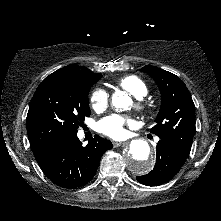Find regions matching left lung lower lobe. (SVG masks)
<instances>
[{
    "label": "left lung lower lobe",
    "instance_id": "left-lung-lower-lobe-1",
    "mask_svg": "<svg viewBox=\"0 0 221 221\" xmlns=\"http://www.w3.org/2000/svg\"><path fill=\"white\" fill-rule=\"evenodd\" d=\"M156 149L154 169L147 175L136 178L140 183L147 186H157L173 178L187 159L163 140H159Z\"/></svg>",
    "mask_w": 221,
    "mask_h": 221
}]
</instances>
